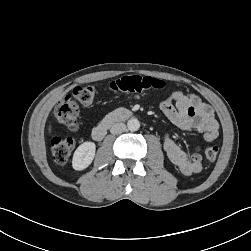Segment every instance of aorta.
<instances>
[{
    "mask_svg": "<svg viewBox=\"0 0 251 251\" xmlns=\"http://www.w3.org/2000/svg\"><path fill=\"white\" fill-rule=\"evenodd\" d=\"M127 127L130 131H137L140 128V122L137 118H131L127 122Z\"/></svg>",
    "mask_w": 251,
    "mask_h": 251,
    "instance_id": "aorta-1",
    "label": "aorta"
}]
</instances>
